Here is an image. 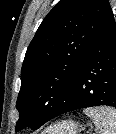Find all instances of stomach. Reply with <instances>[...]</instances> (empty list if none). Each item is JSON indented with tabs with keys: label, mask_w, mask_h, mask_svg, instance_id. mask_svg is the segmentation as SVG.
<instances>
[{
	"label": "stomach",
	"mask_w": 116,
	"mask_h": 134,
	"mask_svg": "<svg viewBox=\"0 0 116 134\" xmlns=\"http://www.w3.org/2000/svg\"><path fill=\"white\" fill-rule=\"evenodd\" d=\"M81 130L82 127L78 122L65 120L51 125L42 134H79Z\"/></svg>",
	"instance_id": "stomach-1"
}]
</instances>
